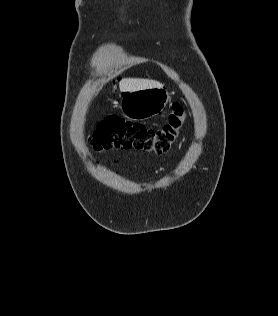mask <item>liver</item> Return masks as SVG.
<instances>
[{"mask_svg":"<svg viewBox=\"0 0 278 316\" xmlns=\"http://www.w3.org/2000/svg\"><path fill=\"white\" fill-rule=\"evenodd\" d=\"M119 87L121 92H133L147 88H162L163 85L157 81L149 79L124 78L120 81Z\"/></svg>","mask_w":278,"mask_h":316,"instance_id":"1","label":"liver"}]
</instances>
